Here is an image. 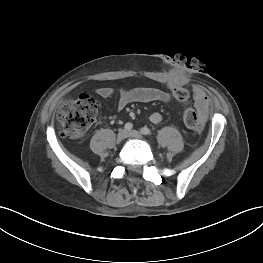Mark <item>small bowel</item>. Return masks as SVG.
<instances>
[{
    "mask_svg": "<svg viewBox=\"0 0 263 263\" xmlns=\"http://www.w3.org/2000/svg\"><path fill=\"white\" fill-rule=\"evenodd\" d=\"M174 84H170V92L154 87H137L133 89H121L119 91L118 109L122 110L131 103H149V102H169L175 95L173 93ZM114 90L110 87H101L97 89V94L102 98H109ZM193 98L197 111L202 120H206L209 110V99L200 87H194ZM176 99V98H175ZM153 124H159L162 121V115L154 112L149 116Z\"/></svg>",
    "mask_w": 263,
    "mask_h": 263,
    "instance_id": "1",
    "label": "small bowel"
}]
</instances>
